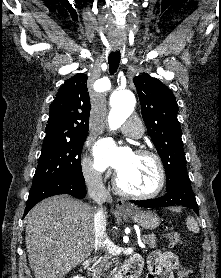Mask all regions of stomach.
Returning <instances> with one entry per match:
<instances>
[{
    "label": "stomach",
    "instance_id": "1",
    "mask_svg": "<svg viewBox=\"0 0 221 278\" xmlns=\"http://www.w3.org/2000/svg\"><path fill=\"white\" fill-rule=\"evenodd\" d=\"M124 214L145 229H155L160 223L159 216L152 211H140L137 209H132L124 211Z\"/></svg>",
    "mask_w": 221,
    "mask_h": 278
}]
</instances>
